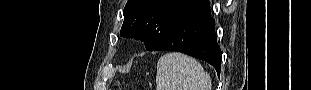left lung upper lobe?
<instances>
[{
  "mask_svg": "<svg viewBox=\"0 0 311 90\" xmlns=\"http://www.w3.org/2000/svg\"><path fill=\"white\" fill-rule=\"evenodd\" d=\"M203 0H128L120 35L144 41L151 50L184 14Z\"/></svg>",
  "mask_w": 311,
  "mask_h": 90,
  "instance_id": "obj_1",
  "label": "left lung upper lobe"
}]
</instances>
